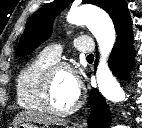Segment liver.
<instances>
[{"mask_svg": "<svg viewBox=\"0 0 142 128\" xmlns=\"http://www.w3.org/2000/svg\"><path fill=\"white\" fill-rule=\"evenodd\" d=\"M24 121L37 122V123L46 124V125L64 123L60 119L48 116V115L41 113V112L22 111L15 116L13 124H14V126H16L17 124L22 123Z\"/></svg>", "mask_w": 142, "mask_h": 128, "instance_id": "1", "label": "liver"}]
</instances>
